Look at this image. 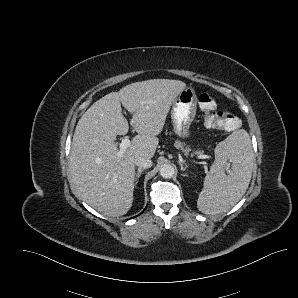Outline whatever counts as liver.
Listing matches in <instances>:
<instances>
[{
    "mask_svg": "<svg viewBox=\"0 0 298 298\" xmlns=\"http://www.w3.org/2000/svg\"><path fill=\"white\" fill-rule=\"evenodd\" d=\"M187 87L176 79L134 82L111 92L79 119L70 152V174L81 198L107 216L119 217L132 206L135 164L141 156L151 159L159 145L167 115L177 96ZM121 105L132 114L130 123ZM129 124L137 132L121 158L115 142L126 135Z\"/></svg>",
    "mask_w": 298,
    "mask_h": 298,
    "instance_id": "liver-1",
    "label": "liver"
}]
</instances>
